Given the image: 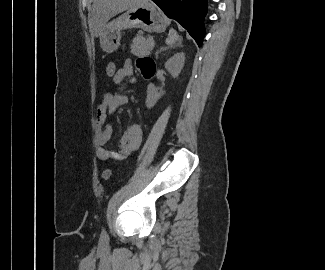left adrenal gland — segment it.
I'll return each instance as SVG.
<instances>
[{
  "mask_svg": "<svg viewBox=\"0 0 325 270\" xmlns=\"http://www.w3.org/2000/svg\"><path fill=\"white\" fill-rule=\"evenodd\" d=\"M181 41L182 40H180L179 42H178V44L176 45L177 47H182V43H181ZM167 48H161V49H159L157 52H156V58H158V54L161 52V51H164V50H166Z\"/></svg>",
  "mask_w": 325,
  "mask_h": 270,
  "instance_id": "left-adrenal-gland-1",
  "label": "left adrenal gland"
}]
</instances>
